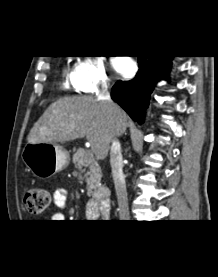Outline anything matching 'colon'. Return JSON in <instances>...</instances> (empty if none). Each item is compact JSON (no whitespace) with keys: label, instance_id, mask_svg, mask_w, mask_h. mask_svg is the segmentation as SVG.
I'll use <instances>...</instances> for the list:
<instances>
[{"label":"colon","instance_id":"colon-1","mask_svg":"<svg viewBox=\"0 0 218 277\" xmlns=\"http://www.w3.org/2000/svg\"><path fill=\"white\" fill-rule=\"evenodd\" d=\"M23 203L31 214H41L49 206L50 193L41 187L29 188L23 194Z\"/></svg>","mask_w":218,"mask_h":277}]
</instances>
